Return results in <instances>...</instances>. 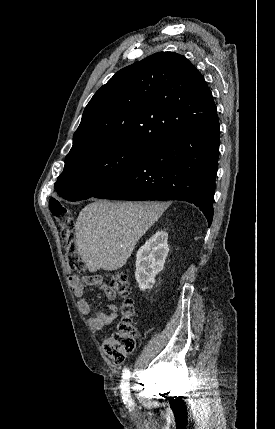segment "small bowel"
<instances>
[{
    "label": "small bowel",
    "instance_id": "1",
    "mask_svg": "<svg viewBox=\"0 0 275 429\" xmlns=\"http://www.w3.org/2000/svg\"><path fill=\"white\" fill-rule=\"evenodd\" d=\"M68 280L74 295L78 298L79 310L83 314L88 315L91 312V305L85 299V286H99L105 291L108 299L114 300L116 298V294L104 283L100 275H89L83 278L77 275H70ZM116 317L117 306L115 304H110L107 307V312H97L88 319V323L95 331L103 332L110 328Z\"/></svg>",
    "mask_w": 275,
    "mask_h": 429
}]
</instances>
